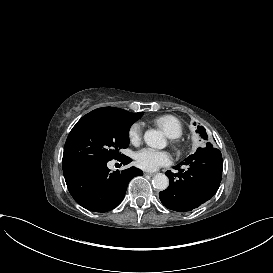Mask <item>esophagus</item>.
<instances>
[{
    "instance_id": "34e87169",
    "label": "esophagus",
    "mask_w": 273,
    "mask_h": 273,
    "mask_svg": "<svg viewBox=\"0 0 273 273\" xmlns=\"http://www.w3.org/2000/svg\"><path fill=\"white\" fill-rule=\"evenodd\" d=\"M144 175L154 176V175H155V173H152V172H148V171H146V172H144Z\"/></svg>"
}]
</instances>
